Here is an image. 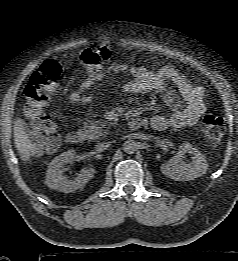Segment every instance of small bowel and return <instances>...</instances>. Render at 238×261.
Returning a JSON list of instances; mask_svg holds the SVG:
<instances>
[{
	"mask_svg": "<svg viewBox=\"0 0 238 261\" xmlns=\"http://www.w3.org/2000/svg\"><path fill=\"white\" fill-rule=\"evenodd\" d=\"M109 72L114 74L129 73L131 79L124 85V91L128 94H142L164 89L167 81L174 84L185 106L179 108L177 102L171 95L167 96V103L173 108L169 116L156 114L151 117L150 125L156 131H164L169 127L184 128L195 125L206 107L204 102V90L202 87L192 84L183 73L173 66H162L155 70H148L136 65H128L120 62L109 67ZM100 79L97 74L85 78L79 89L70 94L73 103L88 104L92 96L83 94L84 91Z\"/></svg>",
	"mask_w": 238,
	"mask_h": 261,
	"instance_id": "small-bowel-1",
	"label": "small bowel"
}]
</instances>
